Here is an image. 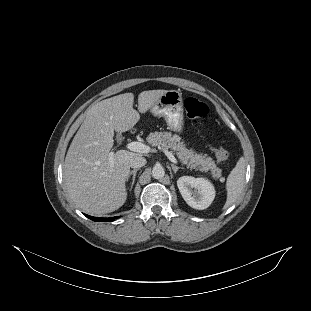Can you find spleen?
<instances>
[{
  "mask_svg": "<svg viewBox=\"0 0 311 311\" xmlns=\"http://www.w3.org/2000/svg\"><path fill=\"white\" fill-rule=\"evenodd\" d=\"M245 166V159L241 157L227 178V201L224 205L225 209L235 203L242 193L245 184Z\"/></svg>",
  "mask_w": 311,
  "mask_h": 311,
  "instance_id": "1",
  "label": "spleen"
}]
</instances>
